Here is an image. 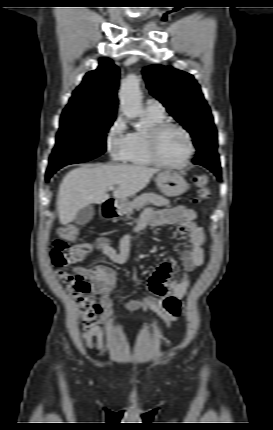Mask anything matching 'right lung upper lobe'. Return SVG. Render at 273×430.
<instances>
[{
    "mask_svg": "<svg viewBox=\"0 0 273 430\" xmlns=\"http://www.w3.org/2000/svg\"><path fill=\"white\" fill-rule=\"evenodd\" d=\"M118 79V67L110 59L101 58L99 67L88 72L80 86L73 91L64 111L92 116H115Z\"/></svg>",
    "mask_w": 273,
    "mask_h": 430,
    "instance_id": "1",
    "label": "right lung upper lobe"
}]
</instances>
